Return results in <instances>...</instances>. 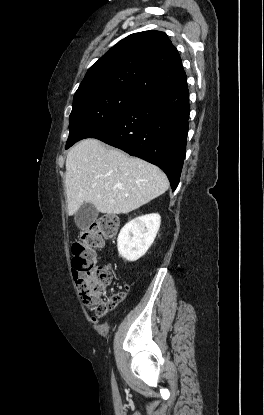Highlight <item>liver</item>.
I'll return each instance as SVG.
<instances>
[{"mask_svg":"<svg viewBox=\"0 0 264 415\" xmlns=\"http://www.w3.org/2000/svg\"><path fill=\"white\" fill-rule=\"evenodd\" d=\"M65 186L69 216L84 202L104 214H127L166 192L169 181L153 164L84 139L67 154Z\"/></svg>","mask_w":264,"mask_h":415,"instance_id":"6515ba94","label":"liver"}]
</instances>
